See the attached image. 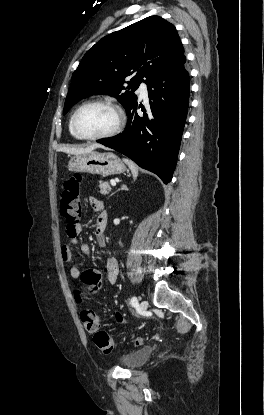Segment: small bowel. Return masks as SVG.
Here are the masks:
<instances>
[{"instance_id":"obj_1","label":"small bowel","mask_w":264,"mask_h":415,"mask_svg":"<svg viewBox=\"0 0 264 415\" xmlns=\"http://www.w3.org/2000/svg\"><path fill=\"white\" fill-rule=\"evenodd\" d=\"M91 207L94 212L98 214L97 220L95 223V233L97 236V241L100 246L105 245V237H104V230L107 225L108 221V214L104 210L103 203L95 198H91L90 200ZM81 228V225H78V229ZM77 241L76 239H71L69 243L64 244L61 246V259L62 261L67 264L71 265L73 262V250L72 245L75 244ZM80 250L83 254L89 255L91 250L88 244L83 243L80 245ZM105 271H106V278L109 284H115L118 278V263L116 259L112 256H107L105 258ZM69 275L72 279H79L81 276V269L77 265H71L69 267ZM116 319L119 322H123L124 318L122 314L117 313Z\"/></svg>"}]
</instances>
